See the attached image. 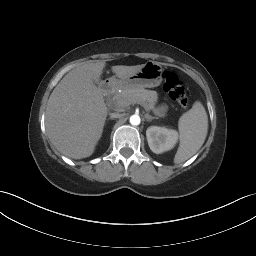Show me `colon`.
<instances>
[{
	"mask_svg": "<svg viewBox=\"0 0 256 256\" xmlns=\"http://www.w3.org/2000/svg\"><path fill=\"white\" fill-rule=\"evenodd\" d=\"M163 88L169 97L176 101L180 106L186 107L188 105V96L186 88L177 74L165 71L163 73Z\"/></svg>",
	"mask_w": 256,
	"mask_h": 256,
	"instance_id": "5ec220e1",
	"label": "colon"
}]
</instances>
